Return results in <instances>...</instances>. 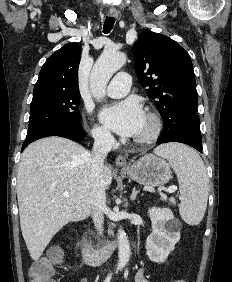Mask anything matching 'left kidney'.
Returning a JSON list of instances; mask_svg holds the SVG:
<instances>
[{
	"instance_id": "1",
	"label": "left kidney",
	"mask_w": 232,
	"mask_h": 282,
	"mask_svg": "<svg viewBox=\"0 0 232 282\" xmlns=\"http://www.w3.org/2000/svg\"><path fill=\"white\" fill-rule=\"evenodd\" d=\"M152 233L146 241V254L156 263H163L180 239V223L169 208L153 207L148 210Z\"/></svg>"
}]
</instances>
